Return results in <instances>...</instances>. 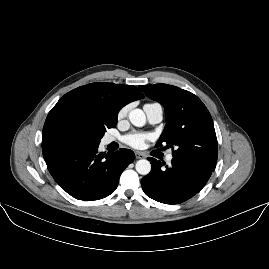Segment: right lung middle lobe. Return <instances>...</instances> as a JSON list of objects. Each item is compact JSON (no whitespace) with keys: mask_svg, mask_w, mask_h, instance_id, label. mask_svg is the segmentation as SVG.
Listing matches in <instances>:
<instances>
[{"mask_svg":"<svg viewBox=\"0 0 269 269\" xmlns=\"http://www.w3.org/2000/svg\"><path fill=\"white\" fill-rule=\"evenodd\" d=\"M116 124V117L65 114L56 120L54 129L58 138H70L81 144H99L106 129L114 128Z\"/></svg>","mask_w":269,"mask_h":269,"instance_id":"dd1d6c3e","label":"right lung middle lobe"}]
</instances>
